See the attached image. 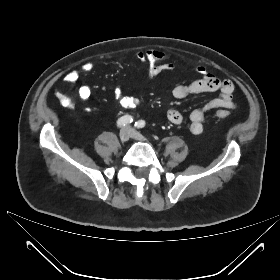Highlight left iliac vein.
Returning a JSON list of instances; mask_svg holds the SVG:
<instances>
[{
	"label": "left iliac vein",
	"mask_w": 280,
	"mask_h": 280,
	"mask_svg": "<svg viewBox=\"0 0 280 280\" xmlns=\"http://www.w3.org/2000/svg\"><path fill=\"white\" fill-rule=\"evenodd\" d=\"M131 137L138 141H146V139L138 132H135L133 129H131Z\"/></svg>",
	"instance_id": "left-iliac-vein-1"
}]
</instances>
